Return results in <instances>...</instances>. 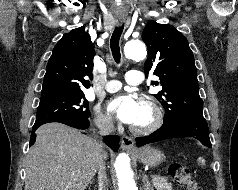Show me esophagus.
<instances>
[{
	"instance_id": "1",
	"label": "esophagus",
	"mask_w": 238,
	"mask_h": 190,
	"mask_svg": "<svg viewBox=\"0 0 238 190\" xmlns=\"http://www.w3.org/2000/svg\"><path fill=\"white\" fill-rule=\"evenodd\" d=\"M124 19L123 18H119L117 20L118 24L121 25L123 23ZM121 147L124 150L127 151H132L134 150V140L133 138L129 137V136H122L121 137Z\"/></svg>"
}]
</instances>
